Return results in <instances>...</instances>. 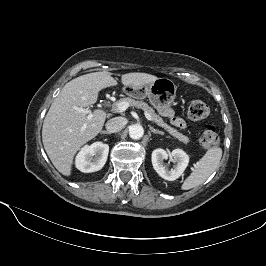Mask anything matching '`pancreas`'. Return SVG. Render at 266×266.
Masks as SVG:
<instances>
[{"mask_svg": "<svg viewBox=\"0 0 266 266\" xmlns=\"http://www.w3.org/2000/svg\"><path fill=\"white\" fill-rule=\"evenodd\" d=\"M121 101H126L129 103V106L132 107H136L139 109L144 110L145 112L149 113L152 117V122H154L155 124H157L158 126L164 128L165 130H167L173 137L177 138L180 142L184 143V144H188L190 142L189 138L183 134H181L180 132H178L176 129L170 127L168 124H166L163 119L157 115L155 113V110L151 107L148 106L147 103L142 102V101H136L130 97L127 98H122L120 99L118 102L114 103L113 108L114 110H116V105L117 103L121 102Z\"/></svg>", "mask_w": 266, "mask_h": 266, "instance_id": "obj_1", "label": "pancreas"}]
</instances>
